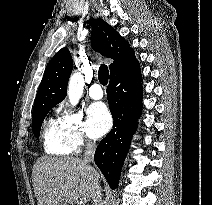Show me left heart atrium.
<instances>
[{"mask_svg":"<svg viewBox=\"0 0 212 205\" xmlns=\"http://www.w3.org/2000/svg\"><path fill=\"white\" fill-rule=\"evenodd\" d=\"M112 125V118L104 103H93L88 109L87 131L90 137L99 138L104 135Z\"/></svg>","mask_w":212,"mask_h":205,"instance_id":"obj_1","label":"left heart atrium"}]
</instances>
